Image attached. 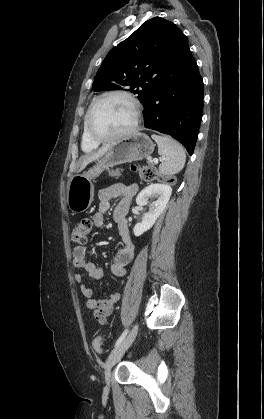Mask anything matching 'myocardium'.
<instances>
[{
    "instance_id": "1",
    "label": "myocardium",
    "mask_w": 264,
    "mask_h": 419,
    "mask_svg": "<svg viewBox=\"0 0 264 419\" xmlns=\"http://www.w3.org/2000/svg\"><path fill=\"white\" fill-rule=\"evenodd\" d=\"M110 96H123L127 98L134 107V120H133L132 125L128 129L120 133H117L111 136H100L93 131L92 125H91V118H92L94 109L96 108L98 103L101 102L106 97H110ZM141 113H142V110H141L140 102L130 92L125 91V90H111V91L104 92L98 97H96L88 108V111L86 113V118H85L86 132L89 138L96 143H106V142H112V141L126 138L132 135L137 130L140 119H141Z\"/></svg>"
}]
</instances>
